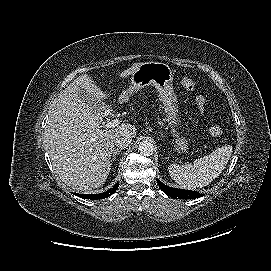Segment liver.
Listing matches in <instances>:
<instances>
[{"label": "liver", "instance_id": "1", "mask_svg": "<svg viewBox=\"0 0 271 271\" xmlns=\"http://www.w3.org/2000/svg\"><path fill=\"white\" fill-rule=\"evenodd\" d=\"M141 64L135 63L124 70L121 77L132 75ZM80 89L96 101L109 97L90 75L79 76L56 98L49 112L45 137L53 169L60 179L75 190L91 191L107 180L115 135L127 132L135 137L137 131L135 125L127 123L102 129L101 114L81 101Z\"/></svg>", "mask_w": 271, "mask_h": 271}]
</instances>
